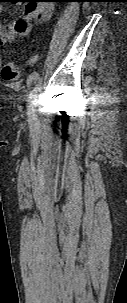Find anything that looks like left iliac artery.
Segmentation results:
<instances>
[{"label":"left iliac artery","instance_id":"obj_1","mask_svg":"<svg viewBox=\"0 0 127 303\" xmlns=\"http://www.w3.org/2000/svg\"><path fill=\"white\" fill-rule=\"evenodd\" d=\"M40 84V83H39ZM39 84H38V86H39ZM37 89V87H35L29 94H28V101L30 102V106H29V110H28V114H29V116L30 117H32L33 116V109H32V103H33V101H34V99H35V96H36V90Z\"/></svg>","mask_w":127,"mask_h":303}]
</instances>
